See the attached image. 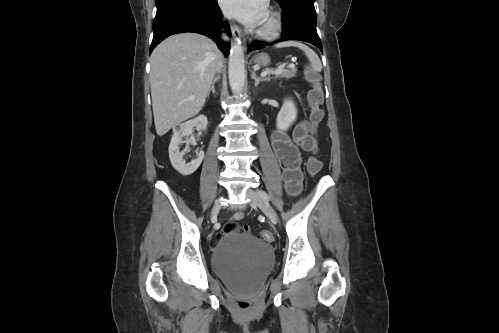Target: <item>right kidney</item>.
Returning <instances> with one entry per match:
<instances>
[{"mask_svg":"<svg viewBox=\"0 0 499 333\" xmlns=\"http://www.w3.org/2000/svg\"><path fill=\"white\" fill-rule=\"evenodd\" d=\"M207 124V117L200 115L174 128V134L169 145V158L172 166L180 174L186 176L194 173L204 159V152L201 150L196 152V159L192 160L190 163H185V161L182 160L184 153L179 152V145L183 143L182 137H188L191 135L194 127L205 131L207 129Z\"/></svg>","mask_w":499,"mask_h":333,"instance_id":"ca27d5eb","label":"right kidney"}]
</instances>
